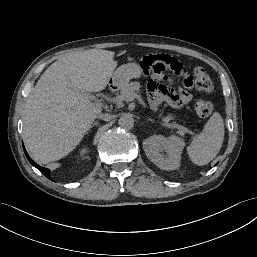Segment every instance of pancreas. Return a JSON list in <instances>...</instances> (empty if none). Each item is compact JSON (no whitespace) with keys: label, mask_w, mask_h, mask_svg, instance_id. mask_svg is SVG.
<instances>
[{"label":"pancreas","mask_w":257,"mask_h":257,"mask_svg":"<svg viewBox=\"0 0 257 257\" xmlns=\"http://www.w3.org/2000/svg\"><path fill=\"white\" fill-rule=\"evenodd\" d=\"M140 83L139 82H130L124 85L121 88V92L119 95L116 96L114 99V103L117 107H122L123 102L127 101V96L131 93H134L135 91L140 90ZM161 115V114H160ZM175 119V115L169 114L167 117H163V122L168 123L170 120Z\"/></svg>","instance_id":"cf45deb5"}]
</instances>
